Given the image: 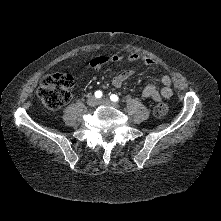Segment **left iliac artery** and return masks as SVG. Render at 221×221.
Here are the masks:
<instances>
[{
	"instance_id": "44dca946",
	"label": "left iliac artery",
	"mask_w": 221,
	"mask_h": 221,
	"mask_svg": "<svg viewBox=\"0 0 221 221\" xmlns=\"http://www.w3.org/2000/svg\"><path fill=\"white\" fill-rule=\"evenodd\" d=\"M110 99H111V101H113V102H118V101H119V97H118L117 95H115V94H112V95L110 96Z\"/></svg>"
}]
</instances>
